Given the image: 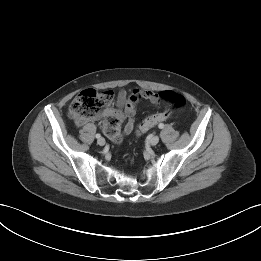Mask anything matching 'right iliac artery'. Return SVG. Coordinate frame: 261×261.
<instances>
[{
    "label": "right iliac artery",
    "instance_id": "obj_1",
    "mask_svg": "<svg viewBox=\"0 0 261 261\" xmlns=\"http://www.w3.org/2000/svg\"><path fill=\"white\" fill-rule=\"evenodd\" d=\"M101 137V135L98 133L96 134V138L99 139Z\"/></svg>",
    "mask_w": 261,
    "mask_h": 261
}]
</instances>
